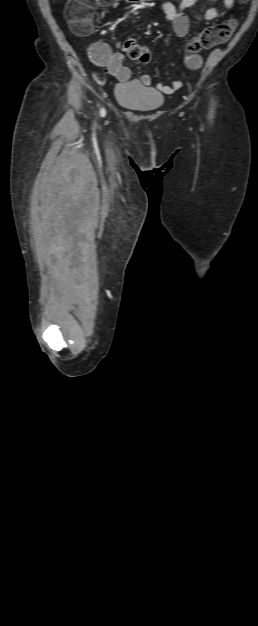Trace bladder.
I'll return each instance as SVG.
<instances>
[{
    "mask_svg": "<svg viewBox=\"0 0 258 626\" xmlns=\"http://www.w3.org/2000/svg\"><path fill=\"white\" fill-rule=\"evenodd\" d=\"M114 97L123 107L141 112L155 110L164 102V97L159 91L137 80L117 84L114 88Z\"/></svg>",
    "mask_w": 258,
    "mask_h": 626,
    "instance_id": "bladder-1",
    "label": "bladder"
}]
</instances>
